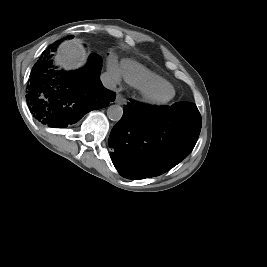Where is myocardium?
<instances>
[{"instance_id":"f54148a6","label":"myocardium","mask_w":267,"mask_h":267,"mask_svg":"<svg viewBox=\"0 0 267 267\" xmlns=\"http://www.w3.org/2000/svg\"><path fill=\"white\" fill-rule=\"evenodd\" d=\"M169 88L171 90L170 94L163 97L155 96V92ZM140 92L143 100L152 105H164L175 97V89L170 83H159V84H151L140 87Z\"/></svg>"}]
</instances>
